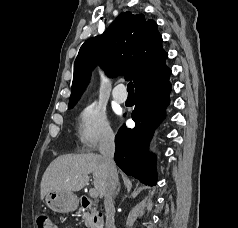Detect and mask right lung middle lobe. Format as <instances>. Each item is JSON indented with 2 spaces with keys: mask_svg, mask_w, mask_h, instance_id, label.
<instances>
[{
  "mask_svg": "<svg viewBox=\"0 0 238 228\" xmlns=\"http://www.w3.org/2000/svg\"><path fill=\"white\" fill-rule=\"evenodd\" d=\"M76 103H69V107H73Z\"/></svg>",
  "mask_w": 238,
  "mask_h": 228,
  "instance_id": "right-lung-middle-lobe-1",
  "label": "right lung middle lobe"
}]
</instances>
